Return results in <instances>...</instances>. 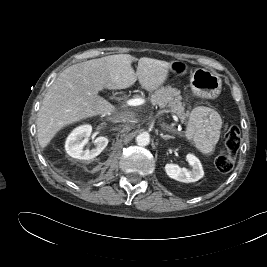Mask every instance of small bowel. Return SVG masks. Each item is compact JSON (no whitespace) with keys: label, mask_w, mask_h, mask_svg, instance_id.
<instances>
[{"label":"small bowel","mask_w":267,"mask_h":267,"mask_svg":"<svg viewBox=\"0 0 267 267\" xmlns=\"http://www.w3.org/2000/svg\"><path fill=\"white\" fill-rule=\"evenodd\" d=\"M222 126V118L214 107L198 106L190 114L185 134L199 151L208 154L217 144Z\"/></svg>","instance_id":"c3829d8e"}]
</instances>
